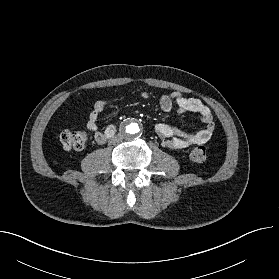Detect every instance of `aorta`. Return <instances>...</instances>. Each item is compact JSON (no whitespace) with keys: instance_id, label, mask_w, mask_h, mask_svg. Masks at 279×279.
Listing matches in <instances>:
<instances>
[{"instance_id":"obj_1","label":"aorta","mask_w":279,"mask_h":279,"mask_svg":"<svg viewBox=\"0 0 279 279\" xmlns=\"http://www.w3.org/2000/svg\"><path fill=\"white\" fill-rule=\"evenodd\" d=\"M123 134L127 137L133 138L140 134L141 124L133 119L127 120L122 127Z\"/></svg>"}]
</instances>
